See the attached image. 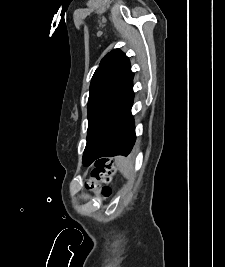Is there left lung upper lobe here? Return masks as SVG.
<instances>
[{"label":"left lung upper lobe","instance_id":"left-lung-upper-lobe-1","mask_svg":"<svg viewBox=\"0 0 225 267\" xmlns=\"http://www.w3.org/2000/svg\"><path fill=\"white\" fill-rule=\"evenodd\" d=\"M133 77L129 59L119 49L109 52L96 69L88 100V134L83 154L85 166L96 160Z\"/></svg>","mask_w":225,"mask_h":267}]
</instances>
